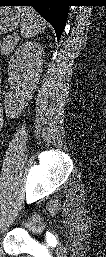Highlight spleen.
Listing matches in <instances>:
<instances>
[{"mask_svg": "<svg viewBox=\"0 0 106 257\" xmlns=\"http://www.w3.org/2000/svg\"><path fill=\"white\" fill-rule=\"evenodd\" d=\"M17 10L22 21V37L29 39L45 30V21L32 7H17Z\"/></svg>", "mask_w": 106, "mask_h": 257, "instance_id": "obj_1", "label": "spleen"}]
</instances>
